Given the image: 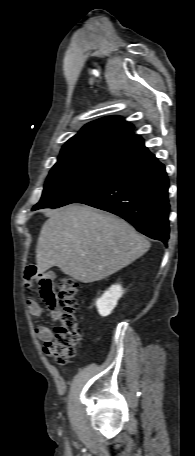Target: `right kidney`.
<instances>
[{
    "label": "right kidney",
    "instance_id": "1",
    "mask_svg": "<svg viewBox=\"0 0 195 456\" xmlns=\"http://www.w3.org/2000/svg\"><path fill=\"white\" fill-rule=\"evenodd\" d=\"M123 294L121 285H112L105 291L100 298L96 301V307L101 316L105 317L111 314L112 310L116 307L117 301Z\"/></svg>",
    "mask_w": 195,
    "mask_h": 456
}]
</instances>
